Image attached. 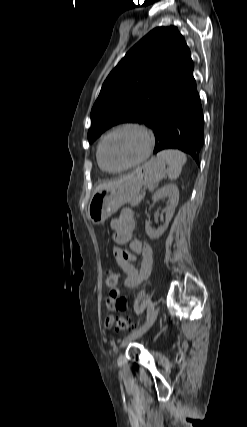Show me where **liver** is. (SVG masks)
Wrapping results in <instances>:
<instances>
[{"mask_svg":"<svg viewBox=\"0 0 247 427\" xmlns=\"http://www.w3.org/2000/svg\"><path fill=\"white\" fill-rule=\"evenodd\" d=\"M132 174L125 175V176L121 177L119 180H115V181H111V182H105L103 184H100L99 186L96 187L95 192L99 191L101 189H104V188L114 187V186L118 185L119 183H121L122 181H124V180L128 179L129 177H131Z\"/></svg>","mask_w":247,"mask_h":427,"instance_id":"6515ba94","label":"liver"}]
</instances>
